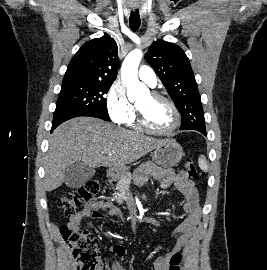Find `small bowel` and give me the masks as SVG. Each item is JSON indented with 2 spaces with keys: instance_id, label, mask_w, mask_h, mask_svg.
<instances>
[{
  "instance_id": "obj_1",
  "label": "small bowel",
  "mask_w": 267,
  "mask_h": 270,
  "mask_svg": "<svg viewBox=\"0 0 267 270\" xmlns=\"http://www.w3.org/2000/svg\"><path fill=\"white\" fill-rule=\"evenodd\" d=\"M151 178L159 180L162 188L174 185L183 197V211L186 217L173 231L175 245L167 255L157 257L153 263L154 270H168L171 256L187 246L201 220L198 191L194 182L187 178L184 171L163 169L153 164L143 166L136 174L135 181L137 185L141 186ZM103 210H108L112 216H121V211L113 203L105 200L91 201L71 217L69 225L79 227L81 221L86 217H92L96 220L102 219L104 217ZM112 256L111 270H124L118 258L124 259L126 257L125 248L120 244L114 245Z\"/></svg>"
}]
</instances>
